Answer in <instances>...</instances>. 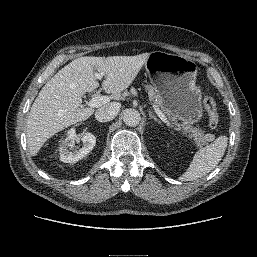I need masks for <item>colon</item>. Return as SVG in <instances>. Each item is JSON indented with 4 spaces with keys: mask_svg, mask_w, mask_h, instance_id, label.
<instances>
[{
    "mask_svg": "<svg viewBox=\"0 0 257 257\" xmlns=\"http://www.w3.org/2000/svg\"><path fill=\"white\" fill-rule=\"evenodd\" d=\"M202 104L208 114L209 126L211 128H216L219 123V113L215 100L210 96H204L202 99Z\"/></svg>",
    "mask_w": 257,
    "mask_h": 257,
    "instance_id": "1",
    "label": "colon"
}]
</instances>
